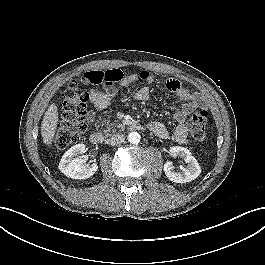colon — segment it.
Here are the masks:
<instances>
[{"instance_id":"1","label":"colon","mask_w":265,"mask_h":265,"mask_svg":"<svg viewBox=\"0 0 265 265\" xmlns=\"http://www.w3.org/2000/svg\"><path fill=\"white\" fill-rule=\"evenodd\" d=\"M117 70L94 71L87 75L91 84L113 83L117 80ZM145 71L140 74L143 75ZM90 94L77 81H72L63 93V107L55 135V145L64 149L80 139L86 128L87 102ZM209 114L206 110H197L190 119V131L197 141H204L207 137Z\"/></svg>"}]
</instances>
